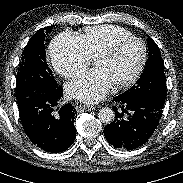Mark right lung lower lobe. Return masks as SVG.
Instances as JSON below:
<instances>
[{
	"label": "right lung lower lobe",
	"mask_w": 183,
	"mask_h": 183,
	"mask_svg": "<svg viewBox=\"0 0 183 183\" xmlns=\"http://www.w3.org/2000/svg\"><path fill=\"white\" fill-rule=\"evenodd\" d=\"M63 95L61 86L51 91H30L18 100L19 116L26 135L39 148L59 153L75 140L74 115L71 104L58 107Z\"/></svg>",
	"instance_id": "obj_1"
}]
</instances>
